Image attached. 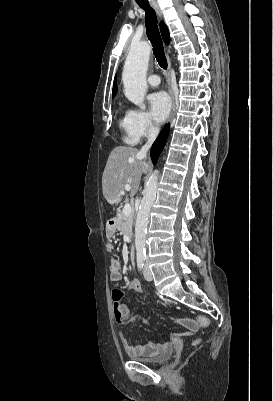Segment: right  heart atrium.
I'll list each match as a JSON object with an SVG mask.
<instances>
[{"label":"right heart atrium","mask_w":273,"mask_h":401,"mask_svg":"<svg viewBox=\"0 0 273 401\" xmlns=\"http://www.w3.org/2000/svg\"><path fill=\"white\" fill-rule=\"evenodd\" d=\"M129 132L136 138H152L154 137L159 126L149 115L141 109L131 108L127 111Z\"/></svg>","instance_id":"d8ad5b80"}]
</instances>
